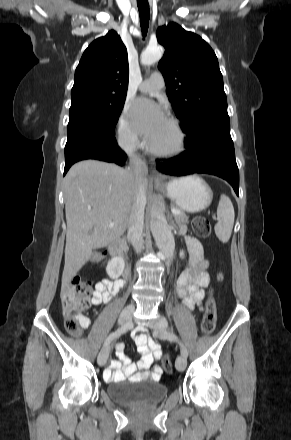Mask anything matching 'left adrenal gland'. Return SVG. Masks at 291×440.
<instances>
[{
  "mask_svg": "<svg viewBox=\"0 0 291 440\" xmlns=\"http://www.w3.org/2000/svg\"><path fill=\"white\" fill-rule=\"evenodd\" d=\"M172 224L175 226L174 221L172 220Z\"/></svg>",
  "mask_w": 291,
  "mask_h": 440,
  "instance_id": "1",
  "label": "left adrenal gland"
}]
</instances>
